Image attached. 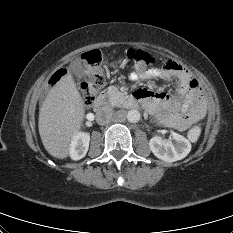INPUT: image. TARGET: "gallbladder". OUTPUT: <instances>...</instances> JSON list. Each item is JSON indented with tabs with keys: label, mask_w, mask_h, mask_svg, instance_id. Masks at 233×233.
<instances>
[{
	"label": "gallbladder",
	"mask_w": 233,
	"mask_h": 233,
	"mask_svg": "<svg viewBox=\"0 0 233 233\" xmlns=\"http://www.w3.org/2000/svg\"><path fill=\"white\" fill-rule=\"evenodd\" d=\"M83 64L84 62L78 58L71 65V70L78 79H82L85 76L86 70Z\"/></svg>",
	"instance_id": "bac80fb5"
}]
</instances>
